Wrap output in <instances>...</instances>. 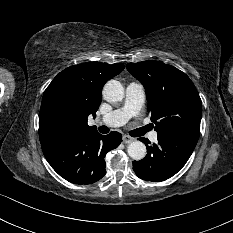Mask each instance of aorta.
<instances>
[{
	"instance_id": "aorta-1",
	"label": "aorta",
	"mask_w": 233,
	"mask_h": 233,
	"mask_svg": "<svg viewBox=\"0 0 233 233\" xmlns=\"http://www.w3.org/2000/svg\"><path fill=\"white\" fill-rule=\"evenodd\" d=\"M103 97L107 102H117L124 98V88L119 81L109 80L103 88ZM128 155L136 161L146 156V146L140 141H133L128 145Z\"/></svg>"
}]
</instances>
